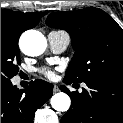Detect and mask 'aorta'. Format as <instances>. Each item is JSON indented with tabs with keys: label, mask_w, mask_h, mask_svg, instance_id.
Wrapping results in <instances>:
<instances>
[{
	"label": "aorta",
	"mask_w": 123,
	"mask_h": 123,
	"mask_svg": "<svg viewBox=\"0 0 123 123\" xmlns=\"http://www.w3.org/2000/svg\"><path fill=\"white\" fill-rule=\"evenodd\" d=\"M46 46L47 42L44 35L35 30L25 32L20 39L22 51L29 56H38L42 54ZM70 105V97L64 92L56 93L51 98V106L56 111L65 112L70 108Z\"/></svg>",
	"instance_id": "aorta-1"
}]
</instances>
